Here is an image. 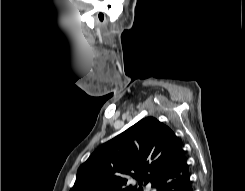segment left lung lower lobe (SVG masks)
I'll use <instances>...</instances> for the list:
<instances>
[{"label": "left lung lower lobe", "instance_id": "1", "mask_svg": "<svg viewBox=\"0 0 245 191\" xmlns=\"http://www.w3.org/2000/svg\"><path fill=\"white\" fill-rule=\"evenodd\" d=\"M155 187L158 191H193L189 165L183 149L172 165L158 178Z\"/></svg>", "mask_w": 245, "mask_h": 191}]
</instances>
